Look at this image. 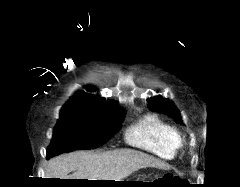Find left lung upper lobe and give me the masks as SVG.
I'll return each mask as SVG.
<instances>
[{
	"label": "left lung upper lobe",
	"mask_w": 240,
	"mask_h": 187,
	"mask_svg": "<svg viewBox=\"0 0 240 187\" xmlns=\"http://www.w3.org/2000/svg\"><path fill=\"white\" fill-rule=\"evenodd\" d=\"M148 107L152 110H156L165 114L170 115L176 122L182 123L180 112L176 106L168 99L162 98L161 96H155L148 99Z\"/></svg>",
	"instance_id": "5c2ea615"
}]
</instances>
